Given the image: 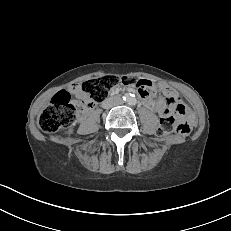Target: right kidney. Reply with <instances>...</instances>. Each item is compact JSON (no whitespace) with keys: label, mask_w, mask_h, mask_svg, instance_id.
<instances>
[{"label":"right kidney","mask_w":231,"mask_h":231,"mask_svg":"<svg viewBox=\"0 0 231 231\" xmlns=\"http://www.w3.org/2000/svg\"><path fill=\"white\" fill-rule=\"evenodd\" d=\"M72 132H73V129L70 128V129L68 130V133H72Z\"/></svg>","instance_id":"obj_1"}]
</instances>
